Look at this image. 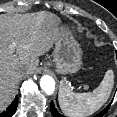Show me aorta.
<instances>
[{
    "instance_id": "1",
    "label": "aorta",
    "mask_w": 117,
    "mask_h": 117,
    "mask_svg": "<svg viewBox=\"0 0 117 117\" xmlns=\"http://www.w3.org/2000/svg\"><path fill=\"white\" fill-rule=\"evenodd\" d=\"M40 87L46 94L51 95L55 90V80L49 75H44L40 79Z\"/></svg>"
}]
</instances>
